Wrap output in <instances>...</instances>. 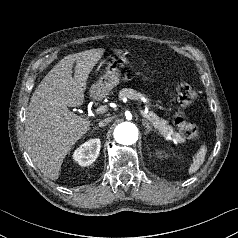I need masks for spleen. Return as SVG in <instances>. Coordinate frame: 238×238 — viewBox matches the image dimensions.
<instances>
[{"label":"spleen","mask_w":238,"mask_h":238,"mask_svg":"<svg viewBox=\"0 0 238 238\" xmlns=\"http://www.w3.org/2000/svg\"><path fill=\"white\" fill-rule=\"evenodd\" d=\"M206 152H207L206 146L202 145L193 158V163L189 168L190 174L195 173L199 169V167L203 164Z\"/></svg>","instance_id":"3e777b00"}]
</instances>
